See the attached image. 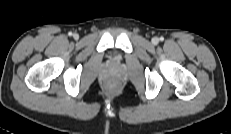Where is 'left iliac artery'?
<instances>
[{"instance_id":"44dca946","label":"left iliac artery","mask_w":231,"mask_h":134,"mask_svg":"<svg viewBox=\"0 0 231 134\" xmlns=\"http://www.w3.org/2000/svg\"><path fill=\"white\" fill-rule=\"evenodd\" d=\"M163 39H164L163 37L160 38L161 41H162Z\"/></svg>"}]
</instances>
